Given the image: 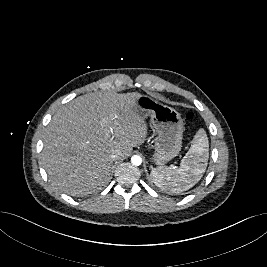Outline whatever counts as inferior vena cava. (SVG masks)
<instances>
[{
  "mask_svg": "<svg viewBox=\"0 0 267 267\" xmlns=\"http://www.w3.org/2000/svg\"><path fill=\"white\" fill-rule=\"evenodd\" d=\"M121 156H122V154L119 150H113L111 155H110V157L113 161L120 160Z\"/></svg>",
  "mask_w": 267,
  "mask_h": 267,
  "instance_id": "1",
  "label": "inferior vena cava"
}]
</instances>
